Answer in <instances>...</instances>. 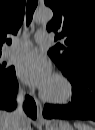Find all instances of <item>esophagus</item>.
<instances>
[{"instance_id": "34e87169", "label": "esophagus", "mask_w": 95, "mask_h": 130, "mask_svg": "<svg viewBox=\"0 0 95 130\" xmlns=\"http://www.w3.org/2000/svg\"><path fill=\"white\" fill-rule=\"evenodd\" d=\"M36 106H37V119L39 121L43 120L42 112H43V106L41 102L38 99H35Z\"/></svg>"}]
</instances>
